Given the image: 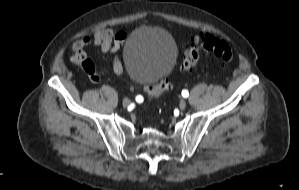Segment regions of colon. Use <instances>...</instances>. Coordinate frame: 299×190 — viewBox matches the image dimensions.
<instances>
[{
    "label": "colon",
    "instance_id": "obj_1",
    "mask_svg": "<svg viewBox=\"0 0 299 190\" xmlns=\"http://www.w3.org/2000/svg\"><path fill=\"white\" fill-rule=\"evenodd\" d=\"M203 54L213 55L220 60L225 66L232 63L234 54L230 45L212 34H204L195 37L192 41L186 43L183 48V68L190 72L199 62ZM71 61L82 67L88 75L96 72L93 62L87 57L83 49H76ZM171 84L167 79H162L160 82L144 87L143 92L149 98H158L166 91L170 90Z\"/></svg>",
    "mask_w": 299,
    "mask_h": 190
}]
</instances>
